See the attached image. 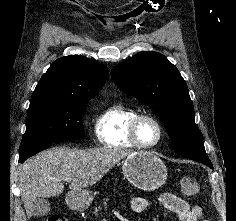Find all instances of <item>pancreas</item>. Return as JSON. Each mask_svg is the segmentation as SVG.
Masks as SVG:
<instances>
[{"label":"pancreas","instance_id":"obj_1","mask_svg":"<svg viewBox=\"0 0 236 221\" xmlns=\"http://www.w3.org/2000/svg\"><path fill=\"white\" fill-rule=\"evenodd\" d=\"M110 200V198H104L103 202L101 205H99L98 207H95V211L94 213L97 215L99 212H101L103 207H107V202Z\"/></svg>","mask_w":236,"mask_h":221}]
</instances>
